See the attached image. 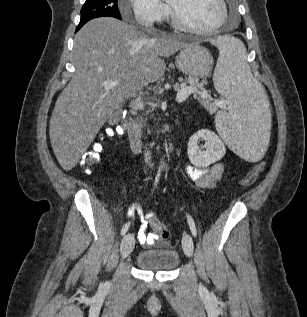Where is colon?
<instances>
[{"label": "colon", "instance_id": "5ec220e1", "mask_svg": "<svg viewBox=\"0 0 307 317\" xmlns=\"http://www.w3.org/2000/svg\"><path fill=\"white\" fill-rule=\"evenodd\" d=\"M126 131V121L123 118H121L112 127L106 129L105 135L121 136L125 135ZM102 150V146L98 142L91 145L90 148L87 149L82 156V164L86 167L96 165L99 162ZM265 166L266 164L264 161L256 163L252 167V169L239 181V186L241 188L250 187L257 180L259 175L264 171ZM145 220L157 232L158 236L162 240L167 241L169 239L168 228L160 220L157 219L154 213L148 212L145 216Z\"/></svg>", "mask_w": 307, "mask_h": 317}]
</instances>
